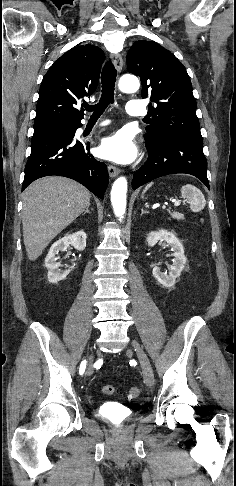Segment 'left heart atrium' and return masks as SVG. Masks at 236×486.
I'll return each mask as SVG.
<instances>
[{"mask_svg": "<svg viewBox=\"0 0 236 486\" xmlns=\"http://www.w3.org/2000/svg\"><path fill=\"white\" fill-rule=\"evenodd\" d=\"M99 154L104 159L120 164H128L136 159L138 149L128 133L118 131L102 140Z\"/></svg>", "mask_w": 236, "mask_h": 486, "instance_id": "obj_1", "label": "left heart atrium"}]
</instances>
